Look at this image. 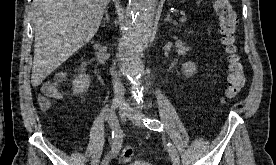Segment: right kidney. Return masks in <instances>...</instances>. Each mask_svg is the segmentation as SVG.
Segmentation results:
<instances>
[{"instance_id": "1", "label": "right kidney", "mask_w": 276, "mask_h": 165, "mask_svg": "<svg viewBox=\"0 0 276 165\" xmlns=\"http://www.w3.org/2000/svg\"><path fill=\"white\" fill-rule=\"evenodd\" d=\"M86 64L82 63V73L78 76L74 77L72 81V90L74 94L82 95L84 94L89 86H90V79L89 76L84 73Z\"/></svg>"}]
</instances>
